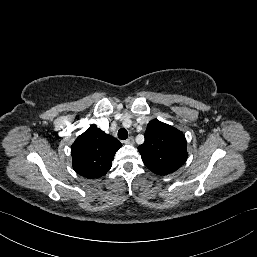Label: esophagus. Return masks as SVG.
<instances>
[{
	"instance_id": "esophagus-1",
	"label": "esophagus",
	"mask_w": 257,
	"mask_h": 257,
	"mask_svg": "<svg viewBox=\"0 0 257 257\" xmlns=\"http://www.w3.org/2000/svg\"><path fill=\"white\" fill-rule=\"evenodd\" d=\"M125 143L128 145H133L135 143L134 138L132 136L129 137L127 140H125Z\"/></svg>"
}]
</instances>
